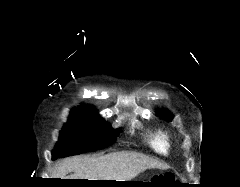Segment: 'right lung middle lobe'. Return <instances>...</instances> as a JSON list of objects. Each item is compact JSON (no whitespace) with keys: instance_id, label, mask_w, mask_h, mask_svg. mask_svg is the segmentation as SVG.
<instances>
[{"instance_id":"obj_1","label":"right lung middle lobe","mask_w":240,"mask_h":187,"mask_svg":"<svg viewBox=\"0 0 240 187\" xmlns=\"http://www.w3.org/2000/svg\"><path fill=\"white\" fill-rule=\"evenodd\" d=\"M119 132L108 127L96 113L72 112L60 131L52 159L105 148L116 140Z\"/></svg>"}]
</instances>
